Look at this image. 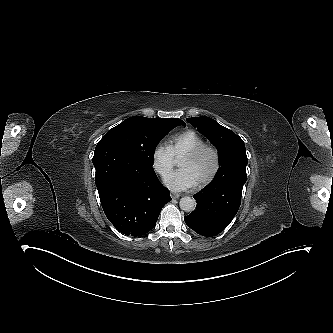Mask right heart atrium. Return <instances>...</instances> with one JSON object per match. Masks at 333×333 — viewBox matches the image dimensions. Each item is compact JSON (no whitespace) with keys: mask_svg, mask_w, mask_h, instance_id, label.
<instances>
[{"mask_svg":"<svg viewBox=\"0 0 333 333\" xmlns=\"http://www.w3.org/2000/svg\"><path fill=\"white\" fill-rule=\"evenodd\" d=\"M176 160L167 147L159 146L153 153L154 169L161 175L165 176L172 171Z\"/></svg>","mask_w":333,"mask_h":333,"instance_id":"1","label":"right heart atrium"}]
</instances>
